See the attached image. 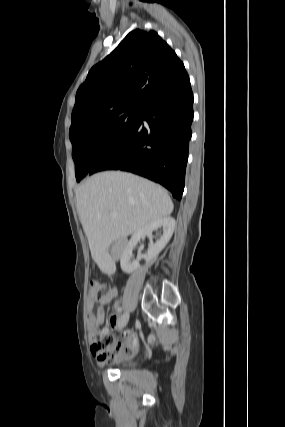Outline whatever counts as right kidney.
<instances>
[{
    "instance_id": "obj_1",
    "label": "right kidney",
    "mask_w": 285,
    "mask_h": 427,
    "mask_svg": "<svg viewBox=\"0 0 285 427\" xmlns=\"http://www.w3.org/2000/svg\"><path fill=\"white\" fill-rule=\"evenodd\" d=\"M175 225H176V222L174 218L167 216L162 218L161 220L150 223L149 225L144 227L142 230L134 233L130 241L126 245L123 251V254L121 256V260H120L121 269L125 273L129 274L140 267L139 261L141 259H145L147 264L152 262L157 257V255L161 252V250L166 246V244L169 242L174 232ZM161 227L163 228L162 237L158 239L156 243H153L152 241H150L147 253L144 255H140L136 260L131 261L132 250L137 245L138 241H140L141 238H145L146 236H151L154 230H158V228H161Z\"/></svg>"
}]
</instances>
